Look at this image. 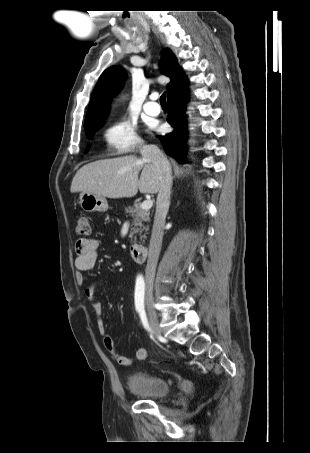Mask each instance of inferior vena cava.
<instances>
[{"label":"inferior vena cava","instance_id":"inferior-vena-cava-1","mask_svg":"<svg viewBox=\"0 0 310 453\" xmlns=\"http://www.w3.org/2000/svg\"><path fill=\"white\" fill-rule=\"evenodd\" d=\"M142 159L151 162L160 171V189L156 201V212L149 245V254L145 273L147 277H154L159 254L162 246L165 218L169 210L172 187L171 165L160 149L155 145H143Z\"/></svg>","mask_w":310,"mask_h":453}]
</instances>
